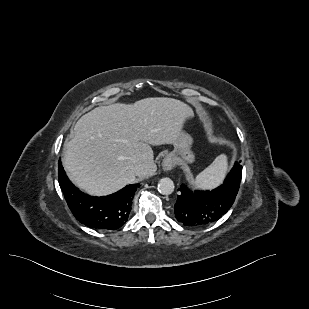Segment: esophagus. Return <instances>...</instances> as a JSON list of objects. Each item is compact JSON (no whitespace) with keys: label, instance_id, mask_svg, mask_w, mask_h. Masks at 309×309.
<instances>
[{"label":"esophagus","instance_id":"obj_1","mask_svg":"<svg viewBox=\"0 0 309 309\" xmlns=\"http://www.w3.org/2000/svg\"><path fill=\"white\" fill-rule=\"evenodd\" d=\"M174 167V162L171 156H166L162 161V168L168 172Z\"/></svg>","mask_w":309,"mask_h":309}]
</instances>
